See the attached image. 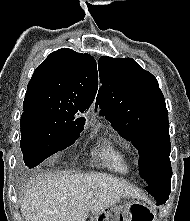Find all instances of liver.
Here are the masks:
<instances>
[{
	"label": "liver",
	"instance_id": "1",
	"mask_svg": "<svg viewBox=\"0 0 190 221\" xmlns=\"http://www.w3.org/2000/svg\"><path fill=\"white\" fill-rule=\"evenodd\" d=\"M93 193L87 199L88 193ZM139 197L127 182L102 173L45 172L26 188L21 200L25 221H86L119 203Z\"/></svg>",
	"mask_w": 190,
	"mask_h": 221
}]
</instances>
